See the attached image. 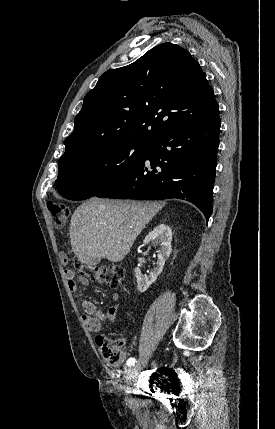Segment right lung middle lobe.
<instances>
[{
	"label": "right lung middle lobe",
	"instance_id": "1",
	"mask_svg": "<svg viewBox=\"0 0 275 429\" xmlns=\"http://www.w3.org/2000/svg\"><path fill=\"white\" fill-rule=\"evenodd\" d=\"M148 144L121 143L95 150L59 165L55 185L70 200L96 196L137 167Z\"/></svg>",
	"mask_w": 275,
	"mask_h": 429
}]
</instances>
